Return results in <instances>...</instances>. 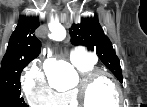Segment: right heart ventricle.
<instances>
[{
  "label": "right heart ventricle",
  "instance_id": "obj_1",
  "mask_svg": "<svg viewBox=\"0 0 147 107\" xmlns=\"http://www.w3.org/2000/svg\"><path fill=\"white\" fill-rule=\"evenodd\" d=\"M81 75L88 74L96 69L95 61L74 64ZM56 105L61 107H79L73 89L57 93Z\"/></svg>",
  "mask_w": 147,
  "mask_h": 107
}]
</instances>
